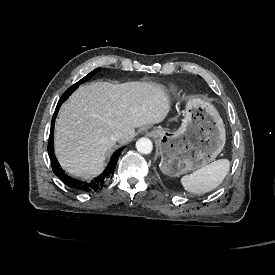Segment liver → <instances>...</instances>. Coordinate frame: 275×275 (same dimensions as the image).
I'll return each instance as SVG.
<instances>
[{
    "mask_svg": "<svg viewBox=\"0 0 275 275\" xmlns=\"http://www.w3.org/2000/svg\"><path fill=\"white\" fill-rule=\"evenodd\" d=\"M170 110L167 96L151 82L80 86L65 102L55 123L54 149L71 175L88 180L104 170L106 152L115 145L111 134L121 131L128 143L135 128L162 122Z\"/></svg>",
    "mask_w": 275,
    "mask_h": 275,
    "instance_id": "obj_1",
    "label": "liver"
}]
</instances>
